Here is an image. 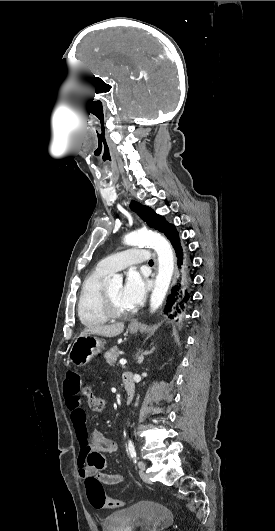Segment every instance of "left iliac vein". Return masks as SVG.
<instances>
[{
  "label": "left iliac vein",
  "mask_w": 275,
  "mask_h": 531,
  "mask_svg": "<svg viewBox=\"0 0 275 531\" xmlns=\"http://www.w3.org/2000/svg\"><path fill=\"white\" fill-rule=\"evenodd\" d=\"M138 468H139V475L141 477V479L145 482V483H150V479H149V475L147 473H145V468H146V465L143 461H139L138 462Z\"/></svg>",
  "instance_id": "obj_1"
}]
</instances>
